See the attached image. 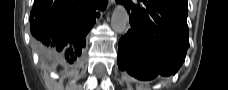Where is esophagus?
<instances>
[{"label": "esophagus", "instance_id": "34e87169", "mask_svg": "<svg viewBox=\"0 0 228 90\" xmlns=\"http://www.w3.org/2000/svg\"><path fill=\"white\" fill-rule=\"evenodd\" d=\"M115 2V0H109V5H112Z\"/></svg>", "mask_w": 228, "mask_h": 90}]
</instances>
